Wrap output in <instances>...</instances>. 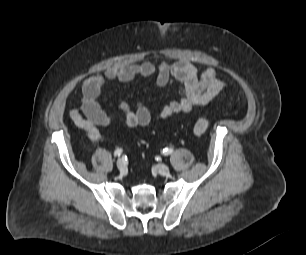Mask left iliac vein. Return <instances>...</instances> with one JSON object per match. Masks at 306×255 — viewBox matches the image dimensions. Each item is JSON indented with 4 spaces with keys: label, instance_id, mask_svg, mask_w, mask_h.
<instances>
[{
    "label": "left iliac vein",
    "instance_id": "left-iliac-vein-1",
    "mask_svg": "<svg viewBox=\"0 0 306 255\" xmlns=\"http://www.w3.org/2000/svg\"><path fill=\"white\" fill-rule=\"evenodd\" d=\"M156 170L158 171V173H159L160 175H163V176H167V175H169V173H170V168H169V166H167V165H165V164H158V165L156 166Z\"/></svg>",
    "mask_w": 306,
    "mask_h": 255
}]
</instances>
